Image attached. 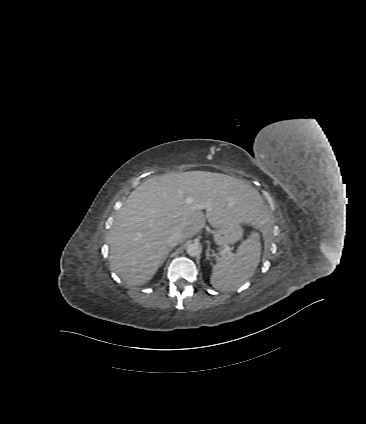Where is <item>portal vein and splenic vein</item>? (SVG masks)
I'll return each mask as SVG.
<instances>
[{"mask_svg": "<svg viewBox=\"0 0 366 424\" xmlns=\"http://www.w3.org/2000/svg\"><path fill=\"white\" fill-rule=\"evenodd\" d=\"M209 207V204L208 203H201V204H197L196 205V208L197 209H206V208H208ZM225 251L226 252H229L230 251V248L229 247H226L225 248Z\"/></svg>", "mask_w": 366, "mask_h": 424, "instance_id": "obj_1", "label": "portal vein and splenic vein"}]
</instances>
